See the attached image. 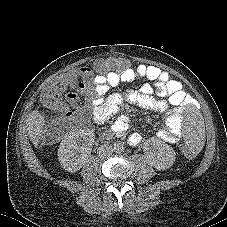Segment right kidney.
Returning <instances> with one entry per match:
<instances>
[{
    "instance_id": "right-kidney-1",
    "label": "right kidney",
    "mask_w": 227,
    "mask_h": 227,
    "mask_svg": "<svg viewBox=\"0 0 227 227\" xmlns=\"http://www.w3.org/2000/svg\"><path fill=\"white\" fill-rule=\"evenodd\" d=\"M94 140L93 132L82 129L65 136L57 153L62 168L71 173L80 170L91 153Z\"/></svg>"
}]
</instances>
